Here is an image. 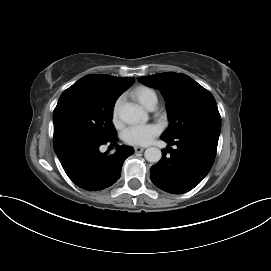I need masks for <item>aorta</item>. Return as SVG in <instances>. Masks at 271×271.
Wrapping results in <instances>:
<instances>
[{
    "label": "aorta",
    "mask_w": 271,
    "mask_h": 271,
    "mask_svg": "<svg viewBox=\"0 0 271 271\" xmlns=\"http://www.w3.org/2000/svg\"><path fill=\"white\" fill-rule=\"evenodd\" d=\"M118 115L122 121L128 124H137L148 119L147 113L137 104L124 103L118 108ZM144 157L147 161L157 163L161 160L162 152L156 147L145 150Z\"/></svg>",
    "instance_id": "aorta-1"
}]
</instances>
